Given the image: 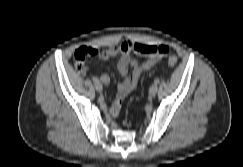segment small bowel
<instances>
[{
    "mask_svg": "<svg viewBox=\"0 0 243 167\" xmlns=\"http://www.w3.org/2000/svg\"><path fill=\"white\" fill-rule=\"evenodd\" d=\"M91 56L102 59L119 57L117 68L122 76V80L118 84L116 98L113 101L110 114L117 117L121 109V101L129 93H131L141 75L150 70L156 63L169 52V47L166 45H155L143 42H128L120 41L117 45L108 49L90 48ZM131 51L144 58L143 61H138L131 56ZM99 79L107 85L110 82V77L107 74H102Z\"/></svg>",
    "mask_w": 243,
    "mask_h": 167,
    "instance_id": "small-bowel-1",
    "label": "small bowel"
}]
</instances>
